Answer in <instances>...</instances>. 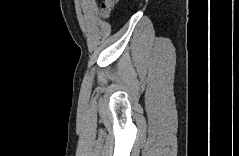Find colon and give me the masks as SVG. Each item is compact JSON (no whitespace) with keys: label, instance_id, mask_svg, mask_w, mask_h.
Wrapping results in <instances>:
<instances>
[{"label":"colon","instance_id":"1","mask_svg":"<svg viewBox=\"0 0 239 156\" xmlns=\"http://www.w3.org/2000/svg\"><path fill=\"white\" fill-rule=\"evenodd\" d=\"M113 6V1L107 0L102 5V11L105 15H108Z\"/></svg>","mask_w":239,"mask_h":156}]
</instances>
